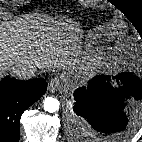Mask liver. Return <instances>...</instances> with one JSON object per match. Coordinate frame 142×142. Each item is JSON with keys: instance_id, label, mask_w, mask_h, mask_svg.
I'll return each mask as SVG.
<instances>
[{"instance_id": "6515ba94", "label": "liver", "mask_w": 142, "mask_h": 142, "mask_svg": "<svg viewBox=\"0 0 142 142\" xmlns=\"http://www.w3.org/2000/svg\"><path fill=\"white\" fill-rule=\"evenodd\" d=\"M26 20L20 31L0 23V77L14 64L33 63L36 68H64L74 26L52 19ZM78 31V29L76 30Z\"/></svg>"}]
</instances>
